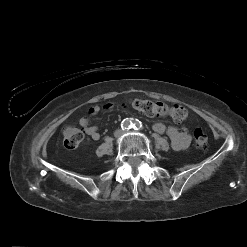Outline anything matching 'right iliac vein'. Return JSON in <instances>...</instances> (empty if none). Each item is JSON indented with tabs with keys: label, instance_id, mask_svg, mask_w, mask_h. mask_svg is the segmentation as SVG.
<instances>
[{
	"label": "right iliac vein",
	"instance_id": "right-iliac-vein-1",
	"mask_svg": "<svg viewBox=\"0 0 247 247\" xmlns=\"http://www.w3.org/2000/svg\"><path fill=\"white\" fill-rule=\"evenodd\" d=\"M120 135H121L120 131L116 132V136H120Z\"/></svg>",
	"mask_w": 247,
	"mask_h": 247
}]
</instances>
